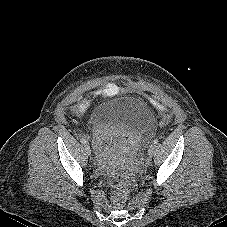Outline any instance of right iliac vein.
Masks as SVG:
<instances>
[{
	"label": "right iliac vein",
	"instance_id": "obj_1",
	"mask_svg": "<svg viewBox=\"0 0 227 227\" xmlns=\"http://www.w3.org/2000/svg\"><path fill=\"white\" fill-rule=\"evenodd\" d=\"M84 149H85V152L88 156L91 155V149L89 147V145L87 143H84Z\"/></svg>",
	"mask_w": 227,
	"mask_h": 227
}]
</instances>
